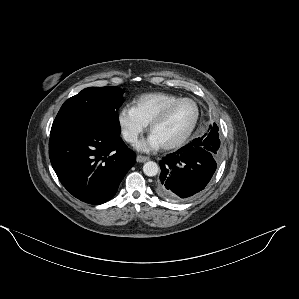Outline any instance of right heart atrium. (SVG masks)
Returning a JSON list of instances; mask_svg holds the SVG:
<instances>
[{
  "instance_id": "1",
  "label": "right heart atrium",
  "mask_w": 299,
  "mask_h": 299,
  "mask_svg": "<svg viewBox=\"0 0 299 299\" xmlns=\"http://www.w3.org/2000/svg\"><path fill=\"white\" fill-rule=\"evenodd\" d=\"M117 124L123 139L130 144H134L147 127V124L140 119L130 106L119 110Z\"/></svg>"
}]
</instances>
